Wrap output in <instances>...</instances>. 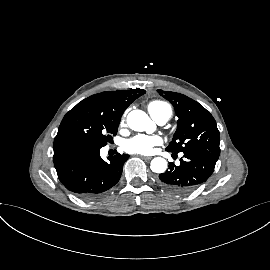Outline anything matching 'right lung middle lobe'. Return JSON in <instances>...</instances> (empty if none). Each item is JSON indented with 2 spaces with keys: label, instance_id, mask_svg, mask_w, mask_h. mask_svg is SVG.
<instances>
[{
  "label": "right lung middle lobe",
  "instance_id": "obj_1",
  "mask_svg": "<svg viewBox=\"0 0 270 270\" xmlns=\"http://www.w3.org/2000/svg\"><path fill=\"white\" fill-rule=\"evenodd\" d=\"M119 123L86 98L64 116L54 141L79 140L101 148L117 134Z\"/></svg>",
  "mask_w": 270,
  "mask_h": 270
}]
</instances>
